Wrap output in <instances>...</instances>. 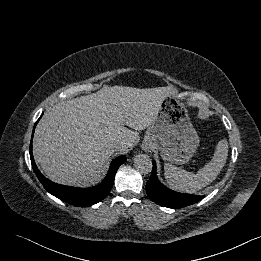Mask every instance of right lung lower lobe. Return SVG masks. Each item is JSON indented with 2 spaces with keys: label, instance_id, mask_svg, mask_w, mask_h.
<instances>
[{
  "label": "right lung lower lobe",
  "instance_id": "right-lung-lower-lobe-1",
  "mask_svg": "<svg viewBox=\"0 0 261 261\" xmlns=\"http://www.w3.org/2000/svg\"><path fill=\"white\" fill-rule=\"evenodd\" d=\"M35 126L33 129L32 136L34 134ZM30 158L36 176L38 177V179L40 180L44 188L50 194L56 196L60 200L65 201L69 204L75 206H81V207H87L95 203H98L109 194L113 186L115 174L119 166L126 161V157L124 155L115 158L110 164L109 172L106 178L99 185L91 188H76V187L56 184L48 180L41 174V172L39 171V169L37 168L34 162V158L32 154V143H30Z\"/></svg>",
  "mask_w": 261,
  "mask_h": 261
}]
</instances>
